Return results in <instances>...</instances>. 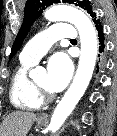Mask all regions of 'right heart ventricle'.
Masks as SVG:
<instances>
[{"instance_id": "right-heart-ventricle-1", "label": "right heart ventricle", "mask_w": 117, "mask_h": 136, "mask_svg": "<svg viewBox=\"0 0 117 136\" xmlns=\"http://www.w3.org/2000/svg\"><path fill=\"white\" fill-rule=\"evenodd\" d=\"M33 64L21 60L11 80L10 101L15 108L20 110H36L42 104L34 83L28 76V70Z\"/></svg>"}]
</instances>
